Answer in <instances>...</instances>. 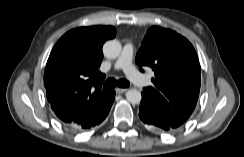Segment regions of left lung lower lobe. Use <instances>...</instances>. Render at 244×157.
<instances>
[{"label": "left lung lower lobe", "instance_id": "obj_1", "mask_svg": "<svg viewBox=\"0 0 244 157\" xmlns=\"http://www.w3.org/2000/svg\"><path fill=\"white\" fill-rule=\"evenodd\" d=\"M139 117L147 126L156 132H171L178 128L165 118L163 113L152 101L143 96L140 103Z\"/></svg>", "mask_w": 244, "mask_h": 157}]
</instances>
